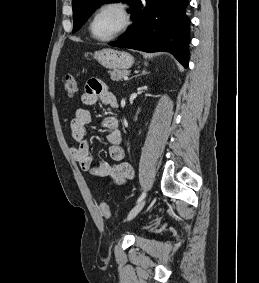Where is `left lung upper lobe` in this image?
Masks as SVG:
<instances>
[{"instance_id": "1", "label": "left lung upper lobe", "mask_w": 259, "mask_h": 283, "mask_svg": "<svg viewBox=\"0 0 259 283\" xmlns=\"http://www.w3.org/2000/svg\"><path fill=\"white\" fill-rule=\"evenodd\" d=\"M126 2L132 7L134 0H72L73 7V33L76 32L84 22L92 15L94 10L103 3L108 2Z\"/></svg>"}]
</instances>
